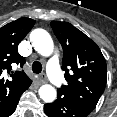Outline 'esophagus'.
<instances>
[{
    "label": "esophagus",
    "mask_w": 117,
    "mask_h": 117,
    "mask_svg": "<svg viewBox=\"0 0 117 117\" xmlns=\"http://www.w3.org/2000/svg\"><path fill=\"white\" fill-rule=\"evenodd\" d=\"M45 81H46L45 75L42 74V75L40 76V78L38 79V82H39L40 84H43V83H45Z\"/></svg>",
    "instance_id": "obj_1"
}]
</instances>
